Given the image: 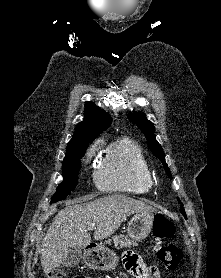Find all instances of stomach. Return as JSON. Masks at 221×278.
<instances>
[{
	"label": "stomach",
	"mask_w": 221,
	"mask_h": 278,
	"mask_svg": "<svg viewBox=\"0 0 221 278\" xmlns=\"http://www.w3.org/2000/svg\"><path fill=\"white\" fill-rule=\"evenodd\" d=\"M153 222L152 213H137L128 224V236L135 242L142 241L152 231ZM86 262L92 269L110 271L116 268L118 257L112 250L99 246L86 256Z\"/></svg>",
	"instance_id": "stomach-1"
}]
</instances>
